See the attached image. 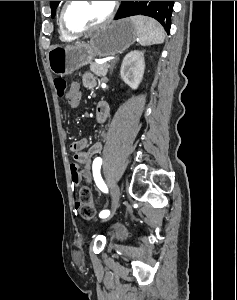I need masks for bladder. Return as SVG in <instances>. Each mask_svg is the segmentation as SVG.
I'll return each instance as SVG.
<instances>
[{"label":"bladder","instance_id":"bladder-1","mask_svg":"<svg viewBox=\"0 0 237 300\" xmlns=\"http://www.w3.org/2000/svg\"><path fill=\"white\" fill-rule=\"evenodd\" d=\"M111 235L113 238H121L124 236V230L119 226L114 227L111 231Z\"/></svg>","mask_w":237,"mask_h":300}]
</instances>
